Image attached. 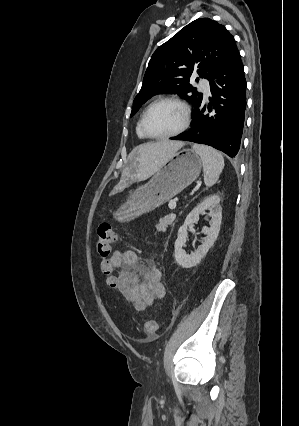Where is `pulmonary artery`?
I'll list each match as a JSON object with an SVG mask.
<instances>
[{"label": "pulmonary artery", "instance_id": "obj_1", "mask_svg": "<svg viewBox=\"0 0 299 426\" xmlns=\"http://www.w3.org/2000/svg\"><path fill=\"white\" fill-rule=\"evenodd\" d=\"M200 87L206 97H209L211 95L210 83L208 80H202L200 83Z\"/></svg>", "mask_w": 299, "mask_h": 426}]
</instances>
